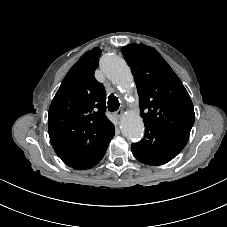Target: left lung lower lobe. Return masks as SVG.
<instances>
[{"label": "left lung lower lobe", "mask_w": 227, "mask_h": 227, "mask_svg": "<svg viewBox=\"0 0 227 227\" xmlns=\"http://www.w3.org/2000/svg\"><path fill=\"white\" fill-rule=\"evenodd\" d=\"M186 140L153 126H145L144 138L133 143L132 153L137 160L148 165H162L177 156Z\"/></svg>", "instance_id": "left-lung-lower-lobe-1"}]
</instances>
